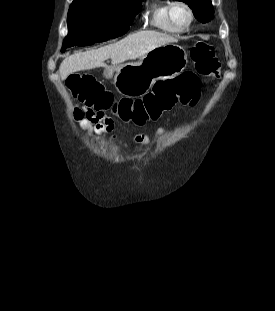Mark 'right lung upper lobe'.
<instances>
[{
    "label": "right lung upper lobe",
    "mask_w": 275,
    "mask_h": 311,
    "mask_svg": "<svg viewBox=\"0 0 275 311\" xmlns=\"http://www.w3.org/2000/svg\"><path fill=\"white\" fill-rule=\"evenodd\" d=\"M82 1H87V0H73V2H82Z\"/></svg>",
    "instance_id": "obj_1"
}]
</instances>
